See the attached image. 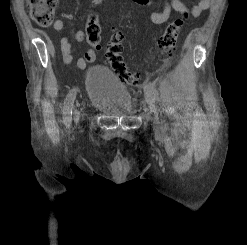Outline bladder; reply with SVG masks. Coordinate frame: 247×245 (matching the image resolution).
Here are the masks:
<instances>
[{
    "mask_svg": "<svg viewBox=\"0 0 247 245\" xmlns=\"http://www.w3.org/2000/svg\"><path fill=\"white\" fill-rule=\"evenodd\" d=\"M86 91L90 103L108 115L125 116L134 110L130 91L110 69L89 68L85 74Z\"/></svg>",
    "mask_w": 247,
    "mask_h": 245,
    "instance_id": "obj_1",
    "label": "bladder"
}]
</instances>
